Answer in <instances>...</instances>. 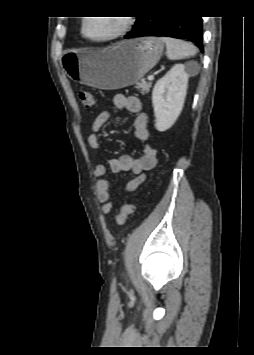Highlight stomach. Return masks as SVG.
<instances>
[{"label":"stomach","instance_id":"1","mask_svg":"<svg viewBox=\"0 0 254 355\" xmlns=\"http://www.w3.org/2000/svg\"><path fill=\"white\" fill-rule=\"evenodd\" d=\"M163 49L161 38L140 37L101 50L66 51L61 64L74 81L115 90L138 83L159 61Z\"/></svg>","mask_w":254,"mask_h":355}]
</instances>
